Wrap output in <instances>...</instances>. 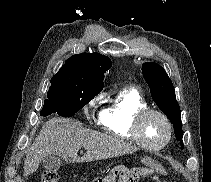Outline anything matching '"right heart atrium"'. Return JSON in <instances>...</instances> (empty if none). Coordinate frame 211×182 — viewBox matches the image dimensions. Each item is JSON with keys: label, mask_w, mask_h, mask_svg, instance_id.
Segmentation results:
<instances>
[{"label": "right heart atrium", "mask_w": 211, "mask_h": 182, "mask_svg": "<svg viewBox=\"0 0 211 182\" xmlns=\"http://www.w3.org/2000/svg\"><path fill=\"white\" fill-rule=\"evenodd\" d=\"M100 103L101 96H97L87 104L88 115L92 121H99L101 119L103 112L99 110Z\"/></svg>", "instance_id": "right-heart-atrium-1"}]
</instances>
